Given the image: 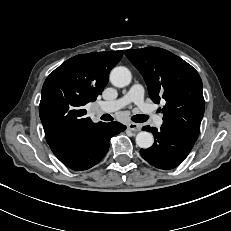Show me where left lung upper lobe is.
<instances>
[{
	"label": "left lung upper lobe",
	"instance_id": "obj_1",
	"mask_svg": "<svg viewBox=\"0 0 231 231\" xmlns=\"http://www.w3.org/2000/svg\"><path fill=\"white\" fill-rule=\"evenodd\" d=\"M125 55L145 79L153 102L165 99L163 124L197 140L205 109L198 72L180 57L157 47L127 50Z\"/></svg>",
	"mask_w": 231,
	"mask_h": 231
}]
</instances>
